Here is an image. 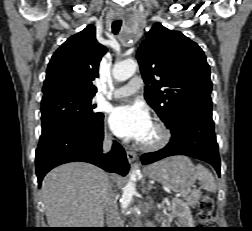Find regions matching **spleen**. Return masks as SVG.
Returning <instances> with one entry per match:
<instances>
[{
    "label": "spleen",
    "instance_id": "spleen-1",
    "mask_svg": "<svg viewBox=\"0 0 252 231\" xmlns=\"http://www.w3.org/2000/svg\"><path fill=\"white\" fill-rule=\"evenodd\" d=\"M196 178L201 182L203 189L209 192H216L217 185L214 176L207 168L200 164L196 167Z\"/></svg>",
    "mask_w": 252,
    "mask_h": 231
}]
</instances>
